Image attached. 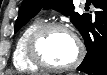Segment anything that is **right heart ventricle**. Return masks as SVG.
Returning a JSON list of instances; mask_svg holds the SVG:
<instances>
[{
    "mask_svg": "<svg viewBox=\"0 0 107 75\" xmlns=\"http://www.w3.org/2000/svg\"><path fill=\"white\" fill-rule=\"evenodd\" d=\"M41 24L42 21L40 19H36L29 23L16 41L13 53V64L15 68L19 71L35 72L39 70V67L32 63L31 60L28 58L26 45L31 33Z\"/></svg>",
    "mask_w": 107,
    "mask_h": 75,
    "instance_id": "e07e8e85",
    "label": "right heart ventricle"
}]
</instances>
